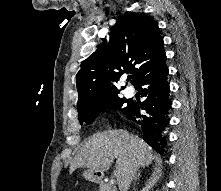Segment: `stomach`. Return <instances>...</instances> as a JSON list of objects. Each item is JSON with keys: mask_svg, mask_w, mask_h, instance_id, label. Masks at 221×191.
Wrapping results in <instances>:
<instances>
[{"mask_svg": "<svg viewBox=\"0 0 221 191\" xmlns=\"http://www.w3.org/2000/svg\"><path fill=\"white\" fill-rule=\"evenodd\" d=\"M102 174L103 173H101L99 171H94V170L88 169L83 172V177L88 181L96 183L101 180Z\"/></svg>", "mask_w": 221, "mask_h": 191, "instance_id": "0dacf381", "label": "stomach"}]
</instances>
